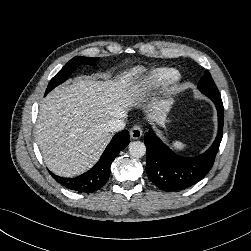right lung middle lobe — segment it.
Masks as SVG:
<instances>
[{"instance_id": "1", "label": "right lung middle lobe", "mask_w": 251, "mask_h": 251, "mask_svg": "<svg viewBox=\"0 0 251 251\" xmlns=\"http://www.w3.org/2000/svg\"><path fill=\"white\" fill-rule=\"evenodd\" d=\"M96 58H86L77 56L72 58L49 82L45 95L48 94L53 88L63 83L68 79L71 73L79 66L84 64L94 65Z\"/></svg>"}]
</instances>
